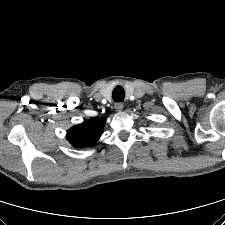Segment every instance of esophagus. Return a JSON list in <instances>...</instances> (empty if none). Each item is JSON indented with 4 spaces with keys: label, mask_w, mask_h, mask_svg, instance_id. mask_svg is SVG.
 <instances>
[{
    "label": "esophagus",
    "mask_w": 225,
    "mask_h": 225,
    "mask_svg": "<svg viewBox=\"0 0 225 225\" xmlns=\"http://www.w3.org/2000/svg\"><path fill=\"white\" fill-rule=\"evenodd\" d=\"M114 107H115L116 111L120 112L123 109V104L121 102H117V103H115Z\"/></svg>",
    "instance_id": "1"
}]
</instances>
